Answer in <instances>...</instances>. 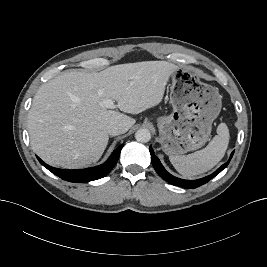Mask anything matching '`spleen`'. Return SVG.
I'll return each mask as SVG.
<instances>
[{
  "label": "spleen",
  "instance_id": "spleen-1",
  "mask_svg": "<svg viewBox=\"0 0 267 267\" xmlns=\"http://www.w3.org/2000/svg\"><path fill=\"white\" fill-rule=\"evenodd\" d=\"M217 134L202 150L188 155H170L171 164L186 178L212 169L224 157L228 147L229 129L225 123L219 124Z\"/></svg>",
  "mask_w": 267,
  "mask_h": 267
}]
</instances>
